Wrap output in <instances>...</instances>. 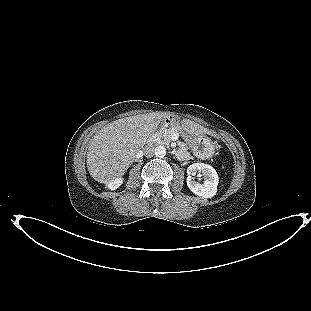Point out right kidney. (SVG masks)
<instances>
[{"mask_svg":"<svg viewBox=\"0 0 311 311\" xmlns=\"http://www.w3.org/2000/svg\"><path fill=\"white\" fill-rule=\"evenodd\" d=\"M122 182H123V181H122L121 178H117V179H115V180L109 182L108 188H109L110 190H115V189H117L118 187L121 186Z\"/></svg>","mask_w":311,"mask_h":311,"instance_id":"ca27d5eb","label":"right kidney"}]
</instances>
